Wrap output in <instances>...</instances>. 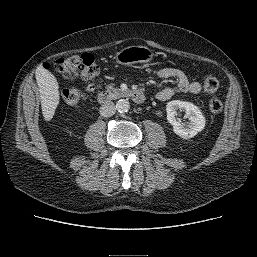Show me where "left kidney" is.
Returning a JSON list of instances; mask_svg holds the SVG:
<instances>
[{
	"mask_svg": "<svg viewBox=\"0 0 257 257\" xmlns=\"http://www.w3.org/2000/svg\"><path fill=\"white\" fill-rule=\"evenodd\" d=\"M177 110L184 111L185 117L190 120L189 123L184 124L179 122L176 118ZM167 120L173 126V131L176 135L189 139L201 132L205 127V117L202 115L200 109L190 103L180 100H173L167 103Z\"/></svg>",
	"mask_w": 257,
	"mask_h": 257,
	"instance_id": "1",
	"label": "left kidney"
}]
</instances>
